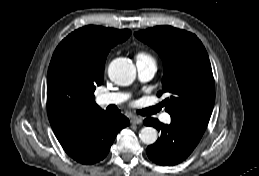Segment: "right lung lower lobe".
Returning a JSON list of instances; mask_svg holds the SVG:
<instances>
[{
	"mask_svg": "<svg viewBox=\"0 0 259 176\" xmlns=\"http://www.w3.org/2000/svg\"><path fill=\"white\" fill-rule=\"evenodd\" d=\"M128 125L124 115L102 112L83 133L62 147L75 161L94 164L106 157L117 133Z\"/></svg>",
	"mask_w": 259,
	"mask_h": 176,
	"instance_id": "obj_1",
	"label": "right lung lower lobe"
}]
</instances>
